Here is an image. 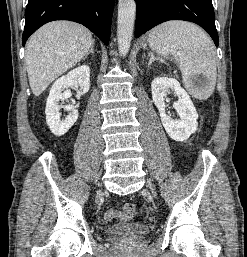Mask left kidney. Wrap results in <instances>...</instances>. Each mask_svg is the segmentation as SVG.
I'll use <instances>...</instances> for the list:
<instances>
[{"instance_id": "1", "label": "left kidney", "mask_w": 247, "mask_h": 257, "mask_svg": "<svg viewBox=\"0 0 247 257\" xmlns=\"http://www.w3.org/2000/svg\"><path fill=\"white\" fill-rule=\"evenodd\" d=\"M168 90L174 91L178 97L174 108L179 119H173L166 114L164 97ZM152 99L160 113L161 122L168 135L175 141H185L198 128V113L188 93L174 78L158 77L151 84Z\"/></svg>"}]
</instances>
